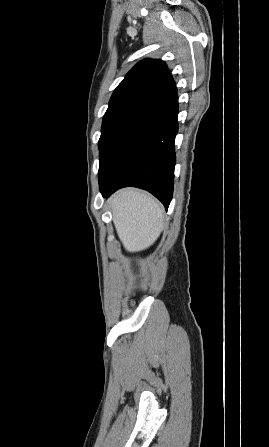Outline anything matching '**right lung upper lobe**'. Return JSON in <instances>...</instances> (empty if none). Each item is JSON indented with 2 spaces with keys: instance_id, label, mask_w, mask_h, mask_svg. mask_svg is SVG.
Listing matches in <instances>:
<instances>
[{
  "instance_id": "1",
  "label": "right lung upper lobe",
  "mask_w": 269,
  "mask_h": 447,
  "mask_svg": "<svg viewBox=\"0 0 269 447\" xmlns=\"http://www.w3.org/2000/svg\"><path fill=\"white\" fill-rule=\"evenodd\" d=\"M175 84L161 60L145 59L136 64L112 94L106 114L147 106Z\"/></svg>"
}]
</instances>
